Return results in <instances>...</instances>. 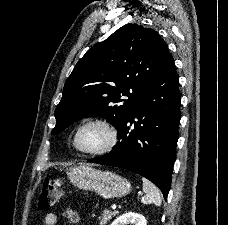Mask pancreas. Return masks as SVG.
<instances>
[{
    "instance_id": "cf45deb5",
    "label": "pancreas",
    "mask_w": 228,
    "mask_h": 225,
    "mask_svg": "<svg viewBox=\"0 0 228 225\" xmlns=\"http://www.w3.org/2000/svg\"><path fill=\"white\" fill-rule=\"evenodd\" d=\"M115 215H118V211H108V209H105L102 213V217H100V225H107L108 221H110L112 217H115Z\"/></svg>"
}]
</instances>
